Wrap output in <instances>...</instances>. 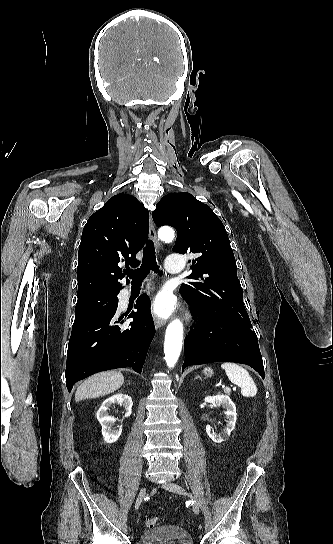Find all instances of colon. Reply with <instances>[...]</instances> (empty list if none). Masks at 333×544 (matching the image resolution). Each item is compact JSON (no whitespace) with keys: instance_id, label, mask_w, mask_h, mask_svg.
Listing matches in <instances>:
<instances>
[{"instance_id":"1","label":"colon","mask_w":333,"mask_h":544,"mask_svg":"<svg viewBox=\"0 0 333 544\" xmlns=\"http://www.w3.org/2000/svg\"><path fill=\"white\" fill-rule=\"evenodd\" d=\"M159 524V519L156 517L153 518H147L145 520V526L147 528H155Z\"/></svg>"}]
</instances>
